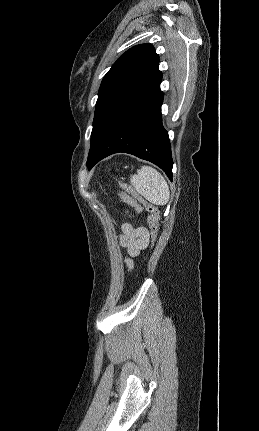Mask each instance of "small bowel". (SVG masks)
Masks as SVG:
<instances>
[{
	"label": "small bowel",
	"mask_w": 259,
	"mask_h": 431,
	"mask_svg": "<svg viewBox=\"0 0 259 431\" xmlns=\"http://www.w3.org/2000/svg\"><path fill=\"white\" fill-rule=\"evenodd\" d=\"M137 211L139 210L137 209ZM120 243L127 249L128 256L125 261L128 269L132 270L134 267L133 258L138 256L149 243V233L144 227L134 228L130 224H123Z\"/></svg>",
	"instance_id": "small-bowel-1"
}]
</instances>
